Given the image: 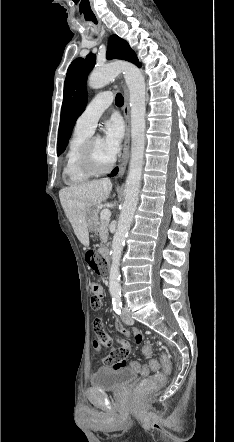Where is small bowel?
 Masks as SVG:
<instances>
[{"label":"small bowel","mask_w":234,"mask_h":442,"mask_svg":"<svg viewBox=\"0 0 234 442\" xmlns=\"http://www.w3.org/2000/svg\"><path fill=\"white\" fill-rule=\"evenodd\" d=\"M99 287H100L101 291L103 292L102 287L100 285H99ZM93 326H94V334H95L94 341H95V343H97L96 345L98 346V344H99V347L104 350H108L111 347V353L105 358V361L107 363H111L112 354L114 352H116L118 349H116L112 346V338L110 337V334H107V331L104 329L103 323H101L99 320H94ZM115 328L118 332L122 333L125 336L130 335V331L118 320L115 322ZM142 339H143V336L141 333L135 334V340L137 343H140L142 341ZM122 344H125V341H122ZM127 347H129V344H126V347L124 346V348H126L128 350ZM125 366H127V362H126Z\"/></svg>","instance_id":"1"}]
</instances>
